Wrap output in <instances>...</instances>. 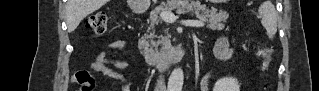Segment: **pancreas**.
Segmentation results:
<instances>
[{"label":"pancreas","mask_w":319,"mask_h":91,"mask_svg":"<svg viewBox=\"0 0 319 91\" xmlns=\"http://www.w3.org/2000/svg\"><path fill=\"white\" fill-rule=\"evenodd\" d=\"M170 3L159 6L155 8L150 13V26L148 28V34L144 36L146 47L144 49V54L148 55L154 59L155 63H159L166 51L170 47L169 36L155 35V26L162 22L159 13L161 11H173L176 10L177 13H188L194 10V14L201 22H208V28L210 30H223L225 28V22L228 18L226 12L217 13V10L212 8L207 9L205 5H200L198 2H193L192 4L181 5L177 1H169ZM159 40L155 41L154 39Z\"/></svg>","instance_id":"obj_1"}]
</instances>
